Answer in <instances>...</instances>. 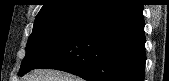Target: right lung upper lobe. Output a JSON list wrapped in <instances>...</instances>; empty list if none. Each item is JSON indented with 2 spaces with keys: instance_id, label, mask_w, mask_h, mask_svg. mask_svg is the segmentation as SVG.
Segmentation results:
<instances>
[{
  "instance_id": "obj_1",
  "label": "right lung upper lobe",
  "mask_w": 169,
  "mask_h": 81,
  "mask_svg": "<svg viewBox=\"0 0 169 81\" xmlns=\"http://www.w3.org/2000/svg\"><path fill=\"white\" fill-rule=\"evenodd\" d=\"M123 0H45L35 20L72 15L91 19Z\"/></svg>"
}]
</instances>
